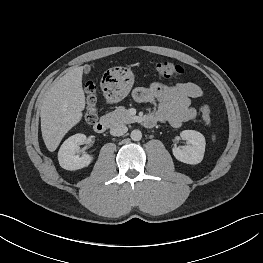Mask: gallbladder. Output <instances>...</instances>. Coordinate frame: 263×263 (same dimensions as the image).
I'll return each instance as SVG.
<instances>
[{
    "label": "gallbladder",
    "mask_w": 263,
    "mask_h": 263,
    "mask_svg": "<svg viewBox=\"0 0 263 263\" xmlns=\"http://www.w3.org/2000/svg\"><path fill=\"white\" fill-rule=\"evenodd\" d=\"M83 71H84V74H89V72L91 71V67L89 65H85L83 67Z\"/></svg>",
    "instance_id": "obj_1"
}]
</instances>
